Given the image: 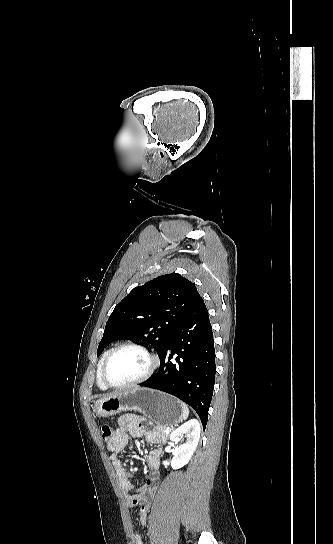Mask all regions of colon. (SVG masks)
I'll return each instance as SVG.
<instances>
[{
    "instance_id": "1",
    "label": "colon",
    "mask_w": 333,
    "mask_h": 544,
    "mask_svg": "<svg viewBox=\"0 0 333 544\" xmlns=\"http://www.w3.org/2000/svg\"><path fill=\"white\" fill-rule=\"evenodd\" d=\"M100 432L104 441L109 442L113 436L112 429L109 424L101 423Z\"/></svg>"
}]
</instances>
